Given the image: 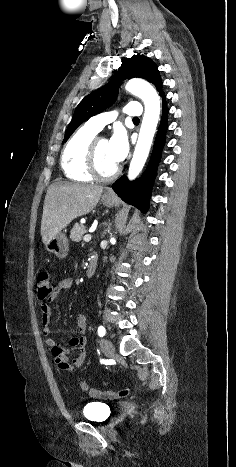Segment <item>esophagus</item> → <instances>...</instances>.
<instances>
[{
	"mask_svg": "<svg viewBox=\"0 0 236 467\" xmlns=\"http://www.w3.org/2000/svg\"><path fill=\"white\" fill-rule=\"evenodd\" d=\"M107 194H108V195H112V192H111V191H107Z\"/></svg>",
	"mask_w": 236,
	"mask_h": 467,
	"instance_id": "1",
	"label": "esophagus"
}]
</instances>
